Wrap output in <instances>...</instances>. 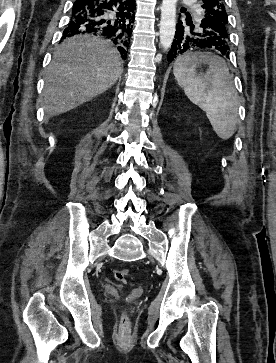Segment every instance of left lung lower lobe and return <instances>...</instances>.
I'll list each match as a JSON object with an SVG mask.
<instances>
[{
	"label": "left lung lower lobe",
	"mask_w": 276,
	"mask_h": 363,
	"mask_svg": "<svg viewBox=\"0 0 276 363\" xmlns=\"http://www.w3.org/2000/svg\"><path fill=\"white\" fill-rule=\"evenodd\" d=\"M186 25L180 20L176 25L175 39L167 54L168 63L201 48H213L229 57V45L226 40L220 37L219 32L216 31V25L209 17L203 18L194 24L192 20L186 18Z\"/></svg>",
	"instance_id": "obj_1"
}]
</instances>
